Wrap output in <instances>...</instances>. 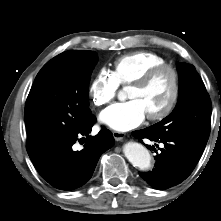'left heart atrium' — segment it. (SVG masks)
<instances>
[{
    "label": "left heart atrium",
    "instance_id": "left-heart-atrium-1",
    "mask_svg": "<svg viewBox=\"0 0 221 221\" xmlns=\"http://www.w3.org/2000/svg\"><path fill=\"white\" fill-rule=\"evenodd\" d=\"M146 117L140 101L136 99L116 103L100 114V121L117 131H128L138 127Z\"/></svg>",
    "mask_w": 221,
    "mask_h": 221
}]
</instances>
